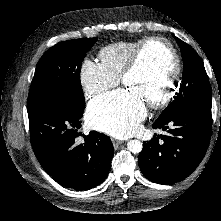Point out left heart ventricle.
Instances as JSON below:
<instances>
[{
	"instance_id": "left-heart-ventricle-1",
	"label": "left heart ventricle",
	"mask_w": 221,
	"mask_h": 221,
	"mask_svg": "<svg viewBox=\"0 0 221 221\" xmlns=\"http://www.w3.org/2000/svg\"><path fill=\"white\" fill-rule=\"evenodd\" d=\"M172 59L165 45L152 43L141 54L136 70L125 81V87L144 103L157 99L169 83Z\"/></svg>"
}]
</instances>
